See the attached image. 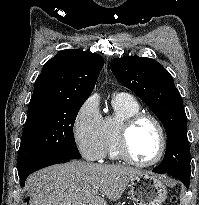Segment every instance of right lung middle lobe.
<instances>
[{
	"label": "right lung middle lobe",
	"instance_id": "obj_1",
	"mask_svg": "<svg viewBox=\"0 0 199 205\" xmlns=\"http://www.w3.org/2000/svg\"><path fill=\"white\" fill-rule=\"evenodd\" d=\"M84 101L53 104L27 112L20 148L18 174L52 158L80 159L73 126Z\"/></svg>",
	"mask_w": 199,
	"mask_h": 205
}]
</instances>
